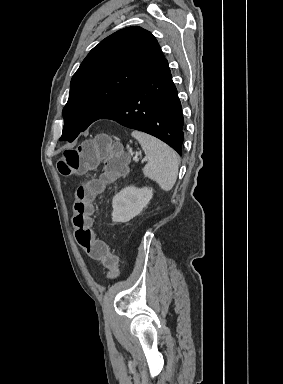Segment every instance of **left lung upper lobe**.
<instances>
[{
	"instance_id": "obj_1",
	"label": "left lung upper lobe",
	"mask_w": 283,
	"mask_h": 384,
	"mask_svg": "<svg viewBox=\"0 0 283 384\" xmlns=\"http://www.w3.org/2000/svg\"><path fill=\"white\" fill-rule=\"evenodd\" d=\"M163 59L156 38L138 26L121 29L101 41L72 77L60 140L72 142L120 104Z\"/></svg>"
}]
</instances>
